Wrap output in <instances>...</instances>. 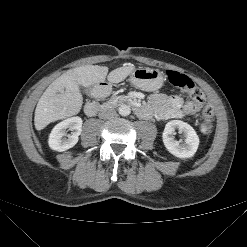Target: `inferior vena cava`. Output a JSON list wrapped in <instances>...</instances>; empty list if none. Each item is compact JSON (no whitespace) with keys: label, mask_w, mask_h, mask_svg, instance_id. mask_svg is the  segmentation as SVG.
<instances>
[{"label":"inferior vena cava","mask_w":247,"mask_h":247,"mask_svg":"<svg viewBox=\"0 0 247 247\" xmlns=\"http://www.w3.org/2000/svg\"><path fill=\"white\" fill-rule=\"evenodd\" d=\"M116 115V111L113 108H103L99 112V118L109 119Z\"/></svg>","instance_id":"inferior-vena-cava-1"}]
</instances>
